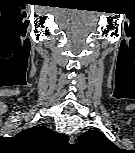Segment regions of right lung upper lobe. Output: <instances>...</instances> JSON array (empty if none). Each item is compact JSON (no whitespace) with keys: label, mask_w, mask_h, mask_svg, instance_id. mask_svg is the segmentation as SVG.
Instances as JSON below:
<instances>
[{"label":"right lung upper lobe","mask_w":135,"mask_h":153,"mask_svg":"<svg viewBox=\"0 0 135 153\" xmlns=\"http://www.w3.org/2000/svg\"><path fill=\"white\" fill-rule=\"evenodd\" d=\"M16 137L25 143L38 147H46L54 143L68 141V137L64 134H58L45 126H34L28 128L18 133Z\"/></svg>","instance_id":"obj_1"}]
</instances>
